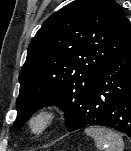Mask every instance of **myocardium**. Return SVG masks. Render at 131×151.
<instances>
[{"label":"myocardium","instance_id":"f54148a6","mask_svg":"<svg viewBox=\"0 0 131 151\" xmlns=\"http://www.w3.org/2000/svg\"><path fill=\"white\" fill-rule=\"evenodd\" d=\"M60 120L56 107L43 106L36 109L26 121V129L32 137H42L52 130Z\"/></svg>","mask_w":131,"mask_h":151}]
</instances>
